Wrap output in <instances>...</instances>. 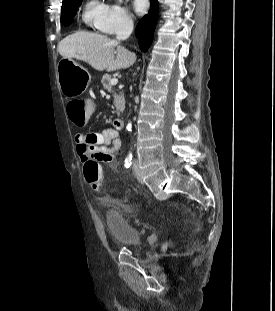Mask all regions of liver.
I'll list each match as a JSON object with an SVG mask.
<instances>
[{
  "instance_id": "liver-1",
  "label": "liver",
  "mask_w": 275,
  "mask_h": 311,
  "mask_svg": "<svg viewBox=\"0 0 275 311\" xmlns=\"http://www.w3.org/2000/svg\"><path fill=\"white\" fill-rule=\"evenodd\" d=\"M58 52L63 58H76L98 71L126 69L136 61V54L119 46L117 41L87 31L65 37L58 44Z\"/></svg>"
}]
</instances>
